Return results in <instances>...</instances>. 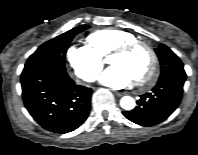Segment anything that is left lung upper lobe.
<instances>
[{
	"mask_svg": "<svg viewBox=\"0 0 198 155\" xmlns=\"http://www.w3.org/2000/svg\"><path fill=\"white\" fill-rule=\"evenodd\" d=\"M155 51L161 64V75L159 79L176 73H185L183 63L167 46L161 44ZM141 116L142 118L150 117L148 112H143Z\"/></svg>",
	"mask_w": 198,
	"mask_h": 155,
	"instance_id": "left-lung-upper-lobe-1",
	"label": "left lung upper lobe"
}]
</instances>
